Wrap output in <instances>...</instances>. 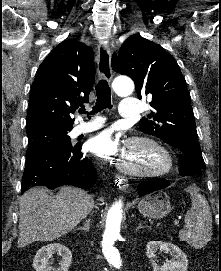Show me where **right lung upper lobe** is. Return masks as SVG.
Returning <instances> with one entry per match:
<instances>
[{"instance_id": "cb5924a9", "label": "right lung upper lobe", "mask_w": 221, "mask_h": 271, "mask_svg": "<svg viewBox=\"0 0 221 271\" xmlns=\"http://www.w3.org/2000/svg\"><path fill=\"white\" fill-rule=\"evenodd\" d=\"M91 47L76 39L61 42L45 58L31 86L26 131L42 126H72L71 114L88 102L94 83Z\"/></svg>"}]
</instances>
